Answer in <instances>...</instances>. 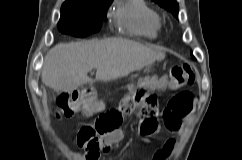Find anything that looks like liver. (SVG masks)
Masks as SVG:
<instances>
[{
  "label": "liver",
  "mask_w": 242,
  "mask_h": 160,
  "mask_svg": "<svg viewBox=\"0 0 242 160\" xmlns=\"http://www.w3.org/2000/svg\"><path fill=\"white\" fill-rule=\"evenodd\" d=\"M165 54L123 38L59 43L45 57L42 82L56 92H71L95 81L126 77ZM96 69V78L88 72Z\"/></svg>",
  "instance_id": "1"
}]
</instances>
